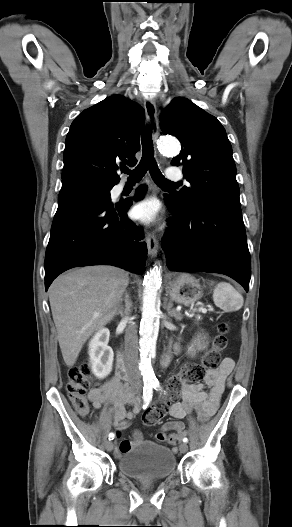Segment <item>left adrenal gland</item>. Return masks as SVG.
<instances>
[{
  "mask_svg": "<svg viewBox=\"0 0 292 527\" xmlns=\"http://www.w3.org/2000/svg\"><path fill=\"white\" fill-rule=\"evenodd\" d=\"M172 306H173L172 301H169V303L166 306V310L168 312V315L170 317H174L176 319V321H181L182 314L180 312H177L175 309H172Z\"/></svg>",
  "mask_w": 292,
  "mask_h": 527,
  "instance_id": "obj_1",
  "label": "left adrenal gland"
}]
</instances>
